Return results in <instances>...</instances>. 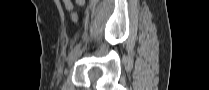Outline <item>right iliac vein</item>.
Here are the masks:
<instances>
[{"label":"right iliac vein","instance_id":"right-iliac-vein-1","mask_svg":"<svg viewBox=\"0 0 209 90\" xmlns=\"http://www.w3.org/2000/svg\"><path fill=\"white\" fill-rule=\"evenodd\" d=\"M78 56H79V53L77 52L76 55H74L73 57L69 58L68 64L69 65L73 64Z\"/></svg>","mask_w":209,"mask_h":90}]
</instances>
